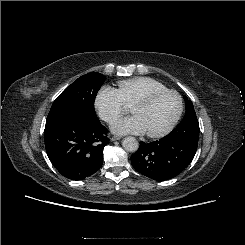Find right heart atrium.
<instances>
[{"mask_svg":"<svg viewBox=\"0 0 245 245\" xmlns=\"http://www.w3.org/2000/svg\"><path fill=\"white\" fill-rule=\"evenodd\" d=\"M94 105L99 117L107 123H112L126 112V106L118 91L103 86L97 93Z\"/></svg>","mask_w":245,"mask_h":245,"instance_id":"d8ad5b80","label":"right heart atrium"}]
</instances>
